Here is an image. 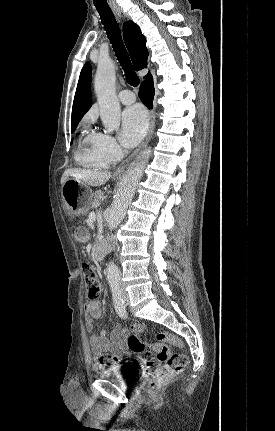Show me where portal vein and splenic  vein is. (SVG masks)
<instances>
[{
  "instance_id": "obj_1",
  "label": "portal vein and splenic vein",
  "mask_w": 275,
  "mask_h": 431,
  "mask_svg": "<svg viewBox=\"0 0 275 431\" xmlns=\"http://www.w3.org/2000/svg\"><path fill=\"white\" fill-rule=\"evenodd\" d=\"M89 219H90V220H95V219H96V213H95V212H91V213L89 214Z\"/></svg>"
}]
</instances>
